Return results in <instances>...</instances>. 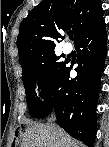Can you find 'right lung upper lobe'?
Wrapping results in <instances>:
<instances>
[{
	"instance_id": "obj_1",
	"label": "right lung upper lobe",
	"mask_w": 109,
	"mask_h": 147,
	"mask_svg": "<svg viewBox=\"0 0 109 147\" xmlns=\"http://www.w3.org/2000/svg\"><path fill=\"white\" fill-rule=\"evenodd\" d=\"M102 16L100 0H42L20 24L17 47L22 68L54 52L63 32L74 33L75 42Z\"/></svg>"
}]
</instances>
